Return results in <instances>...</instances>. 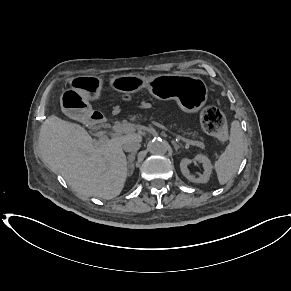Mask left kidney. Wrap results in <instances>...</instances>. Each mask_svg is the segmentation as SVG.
I'll list each match as a JSON object with an SVG mask.
<instances>
[{
  "label": "left kidney",
  "mask_w": 291,
  "mask_h": 291,
  "mask_svg": "<svg viewBox=\"0 0 291 291\" xmlns=\"http://www.w3.org/2000/svg\"><path fill=\"white\" fill-rule=\"evenodd\" d=\"M195 161L202 164L204 169L203 175L195 177L193 174H191L188 169V165L192 163V160L186 158L182 159L180 162V169L182 174L191 182L207 183L209 181L213 168L210 160L205 155L198 154L195 157Z\"/></svg>",
  "instance_id": "obj_1"
}]
</instances>
